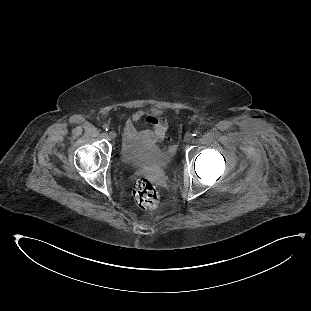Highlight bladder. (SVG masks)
<instances>
[{
    "label": "bladder",
    "mask_w": 311,
    "mask_h": 311,
    "mask_svg": "<svg viewBox=\"0 0 311 311\" xmlns=\"http://www.w3.org/2000/svg\"><path fill=\"white\" fill-rule=\"evenodd\" d=\"M121 158L130 165H136L139 171L152 172L170 166L171 157L163 150L154 151L148 154L138 155L131 149L121 151Z\"/></svg>",
    "instance_id": "obj_1"
}]
</instances>
